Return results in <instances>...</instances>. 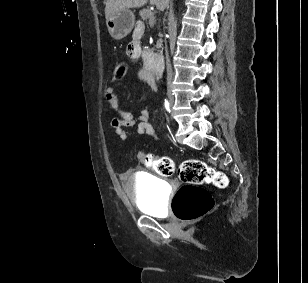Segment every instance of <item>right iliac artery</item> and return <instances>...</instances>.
I'll list each match as a JSON object with an SVG mask.
<instances>
[{
	"label": "right iliac artery",
	"instance_id": "obj_1",
	"mask_svg": "<svg viewBox=\"0 0 308 283\" xmlns=\"http://www.w3.org/2000/svg\"><path fill=\"white\" fill-rule=\"evenodd\" d=\"M165 108L167 109L168 112H170L169 102L167 100H165Z\"/></svg>",
	"mask_w": 308,
	"mask_h": 283
}]
</instances>
